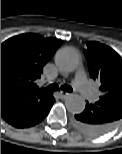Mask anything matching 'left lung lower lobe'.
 Masks as SVG:
<instances>
[{
	"mask_svg": "<svg viewBox=\"0 0 122 154\" xmlns=\"http://www.w3.org/2000/svg\"><path fill=\"white\" fill-rule=\"evenodd\" d=\"M122 118V98H102L94 104L87 102L83 112L75 115L74 126L89 135L110 131Z\"/></svg>",
	"mask_w": 122,
	"mask_h": 154,
	"instance_id": "left-lung-lower-lobe-1",
	"label": "left lung lower lobe"
}]
</instances>
